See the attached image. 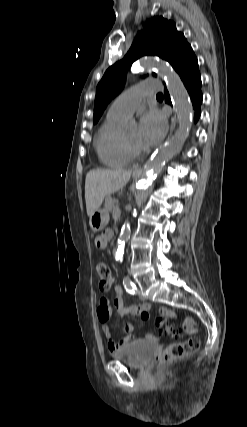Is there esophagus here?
<instances>
[{
	"label": "esophagus",
	"instance_id": "obj_1",
	"mask_svg": "<svg viewBox=\"0 0 247 427\" xmlns=\"http://www.w3.org/2000/svg\"><path fill=\"white\" fill-rule=\"evenodd\" d=\"M175 122H176V119H175V116L173 115L172 120H171L170 135H171L172 131L174 130ZM134 173H138V174L142 173V167L141 166L135 167Z\"/></svg>",
	"mask_w": 247,
	"mask_h": 427
}]
</instances>
